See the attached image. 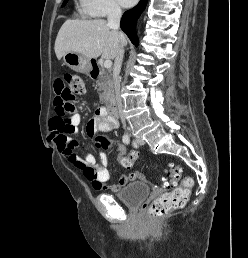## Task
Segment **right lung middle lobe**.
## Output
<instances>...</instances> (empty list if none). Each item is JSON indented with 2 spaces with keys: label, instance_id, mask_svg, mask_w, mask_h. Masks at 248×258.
<instances>
[{
  "label": "right lung middle lobe",
  "instance_id": "obj_1",
  "mask_svg": "<svg viewBox=\"0 0 248 258\" xmlns=\"http://www.w3.org/2000/svg\"><path fill=\"white\" fill-rule=\"evenodd\" d=\"M67 2H68V0H64L62 6H65Z\"/></svg>",
  "mask_w": 248,
  "mask_h": 258
}]
</instances>
